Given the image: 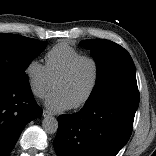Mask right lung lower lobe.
Instances as JSON below:
<instances>
[{"label": "right lung lower lobe", "mask_w": 156, "mask_h": 156, "mask_svg": "<svg viewBox=\"0 0 156 156\" xmlns=\"http://www.w3.org/2000/svg\"><path fill=\"white\" fill-rule=\"evenodd\" d=\"M30 87L0 82V156H7L25 125L40 117Z\"/></svg>", "instance_id": "right-lung-lower-lobe-1"}]
</instances>
